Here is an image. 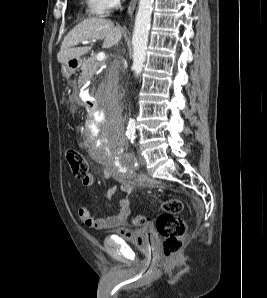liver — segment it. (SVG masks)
<instances>
[{"label":"liver","mask_w":267,"mask_h":298,"mask_svg":"<svg viewBox=\"0 0 267 298\" xmlns=\"http://www.w3.org/2000/svg\"><path fill=\"white\" fill-rule=\"evenodd\" d=\"M122 37V29L114 26L108 19L92 17L77 24L62 41L60 51L57 54L59 63L64 64L71 59H80L88 53L89 46L76 47L82 41L104 39L103 48H110L119 43Z\"/></svg>","instance_id":"liver-1"}]
</instances>
